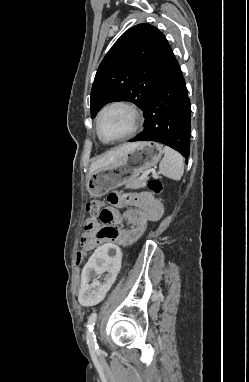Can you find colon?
<instances>
[{
	"mask_svg": "<svg viewBox=\"0 0 249 382\" xmlns=\"http://www.w3.org/2000/svg\"><path fill=\"white\" fill-rule=\"evenodd\" d=\"M149 188L154 192H161L162 191V183L157 180H152L149 182ZM104 204L99 199H92L90 200L86 205V210L94 215H99L103 211ZM83 257H84V251H79L77 255V262L76 267L82 268L83 267Z\"/></svg>",
	"mask_w": 249,
	"mask_h": 382,
	"instance_id": "obj_1",
	"label": "colon"
}]
</instances>
